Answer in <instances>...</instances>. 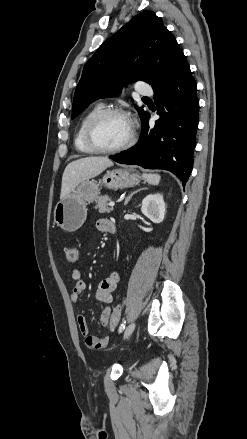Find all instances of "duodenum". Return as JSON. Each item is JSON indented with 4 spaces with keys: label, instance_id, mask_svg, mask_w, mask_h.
<instances>
[{
    "label": "duodenum",
    "instance_id": "obj_1",
    "mask_svg": "<svg viewBox=\"0 0 247 439\" xmlns=\"http://www.w3.org/2000/svg\"><path fill=\"white\" fill-rule=\"evenodd\" d=\"M115 231H116L115 225L112 224L111 227H110V233L114 234Z\"/></svg>",
    "mask_w": 247,
    "mask_h": 439
}]
</instances>
